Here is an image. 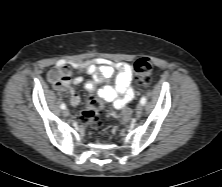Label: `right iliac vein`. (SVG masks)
<instances>
[{"label":"right iliac vein","instance_id":"obj_1","mask_svg":"<svg viewBox=\"0 0 222 187\" xmlns=\"http://www.w3.org/2000/svg\"><path fill=\"white\" fill-rule=\"evenodd\" d=\"M69 111L67 110V109H65L64 111H63V115L65 116V117H67V116H69Z\"/></svg>","mask_w":222,"mask_h":187}]
</instances>
